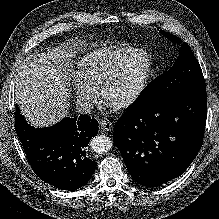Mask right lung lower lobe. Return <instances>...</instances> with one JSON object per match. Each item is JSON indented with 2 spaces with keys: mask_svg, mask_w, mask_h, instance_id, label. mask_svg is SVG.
Returning a JSON list of instances; mask_svg holds the SVG:
<instances>
[{
  "mask_svg": "<svg viewBox=\"0 0 219 219\" xmlns=\"http://www.w3.org/2000/svg\"><path fill=\"white\" fill-rule=\"evenodd\" d=\"M16 133L27 159L38 177L62 190L84 186L96 169L86 155L90 139L98 132V122L88 116L66 117L48 128L30 126L16 105Z\"/></svg>",
  "mask_w": 219,
  "mask_h": 219,
  "instance_id": "98d812e1",
  "label": "right lung lower lobe"
}]
</instances>
